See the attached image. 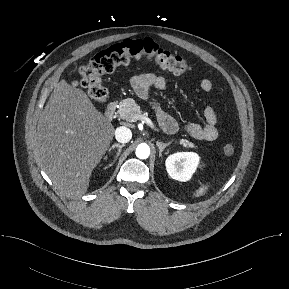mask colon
Returning <instances> with one entry per match:
<instances>
[{
  "label": "colon",
  "mask_w": 289,
  "mask_h": 289,
  "mask_svg": "<svg viewBox=\"0 0 289 289\" xmlns=\"http://www.w3.org/2000/svg\"><path fill=\"white\" fill-rule=\"evenodd\" d=\"M139 59L152 61L160 68L174 74H184L190 69L184 57L162 49L151 39H128L98 52L86 65L82 66L80 68L81 85L94 101L103 102L108 93L101 76L113 72L121 65ZM221 151L229 156L234 153L235 149L232 144H225Z\"/></svg>",
  "instance_id": "obj_1"
}]
</instances>
